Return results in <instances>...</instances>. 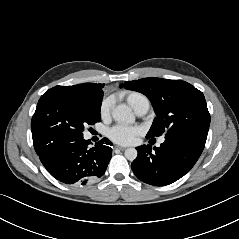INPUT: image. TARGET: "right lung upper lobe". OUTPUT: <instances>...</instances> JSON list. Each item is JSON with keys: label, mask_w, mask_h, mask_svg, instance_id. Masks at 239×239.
<instances>
[{"label": "right lung upper lobe", "mask_w": 239, "mask_h": 239, "mask_svg": "<svg viewBox=\"0 0 239 239\" xmlns=\"http://www.w3.org/2000/svg\"><path fill=\"white\" fill-rule=\"evenodd\" d=\"M70 87L77 90L87 91V92H91L93 94L99 95L103 93L102 88L104 87V84L83 83V84H78V85H74Z\"/></svg>", "instance_id": "1"}]
</instances>
